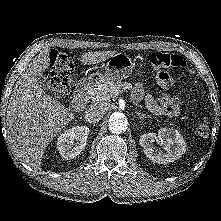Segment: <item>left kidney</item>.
<instances>
[{"label":"left kidney","mask_w":221,"mask_h":221,"mask_svg":"<svg viewBox=\"0 0 221 221\" xmlns=\"http://www.w3.org/2000/svg\"><path fill=\"white\" fill-rule=\"evenodd\" d=\"M157 142L162 150L154 145ZM145 155L154 163L167 164L179 159L186 152V142L180 133L171 128H162L156 133L143 134L139 139Z\"/></svg>","instance_id":"1"}]
</instances>
